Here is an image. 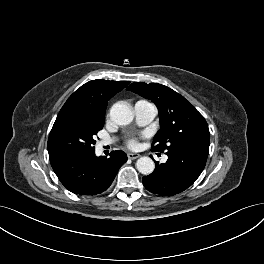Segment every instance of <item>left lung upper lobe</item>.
Wrapping results in <instances>:
<instances>
[{"mask_svg": "<svg viewBox=\"0 0 264 264\" xmlns=\"http://www.w3.org/2000/svg\"><path fill=\"white\" fill-rule=\"evenodd\" d=\"M127 90L151 100L158 108L161 129L153 139L152 151L170 152L178 147H189L208 154L207 122L182 95L156 83L135 82Z\"/></svg>", "mask_w": 264, "mask_h": 264, "instance_id": "5c2ea615", "label": "left lung upper lobe"}]
</instances>
